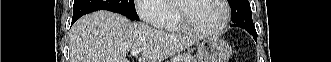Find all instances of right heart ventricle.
<instances>
[{"mask_svg":"<svg viewBox=\"0 0 331 62\" xmlns=\"http://www.w3.org/2000/svg\"><path fill=\"white\" fill-rule=\"evenodd\" d=\"M165 29L168 31H173V32L180 31L182 29L180 23L178 22L177 18L175 17V13H174L171 21L166 25Z\"/></svg>","mask_w":331,"mask_h":62,"instance_id":"e07e8e85","label":"right heart ventricle"}]
</instances>
